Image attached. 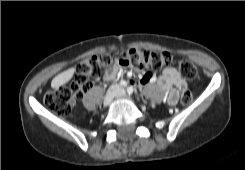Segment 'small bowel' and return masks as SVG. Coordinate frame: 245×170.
Listing matches in <instances>:
<instances>
[{
    "label": "small bowel",
    "instance_id": "c3829d8e",
    "mask_svg": "<svg viewBox=\"0 0 245 170\" xmlns=\"http://www.w3.org/2000/svg\"><path fill=\"white\" fill-rule=\"evenodd\" d=\"M118 73V69L113 67L106 72V79L112 80ZM155 81V77L150 74H143L139 81V85H146ZM134 84L133 81H130ZM158 85L161 90L167 92V103L170 106H175L178 101L181 92L187 89L186 81L180 76L178 70L174 67H168L163 70L158 78Z\"/></svg>",
    "mask_w": 245,
    "mask_h": 170
}]
</instances>
